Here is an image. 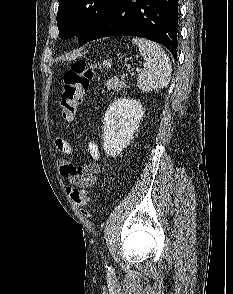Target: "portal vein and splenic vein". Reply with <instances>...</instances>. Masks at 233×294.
Masks as SVG:
<instances>
[{
	"label": "portal vein and splenic vein",
	"instance_id": "obj_1",
	"mask_svg": "<svg viewBox=\"0 0 233 294\" xmlns=\"http://www.w3.org/2000/svg\"><path fill=\"white\" fill-rule=\"evenodd\" d=\"M141 69L140 68H136V72H139ZM134 76V73H131V77H133ZM125 78V76L123 75L122 76V79H124Z\"/></svg>",
	"mask_w": 233,
	"mask_h": 294
}]
</instances>
